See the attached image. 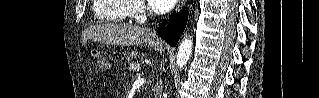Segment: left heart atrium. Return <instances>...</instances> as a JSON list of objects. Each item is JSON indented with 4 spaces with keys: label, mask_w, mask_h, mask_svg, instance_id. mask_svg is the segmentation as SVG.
Here are the masks:
<instances>
[{
    "label": "left heart atrium",
    "mask_w": 319,
    "mask_h": 98,
    "mask_svg": "<svg viewBox=\"0 0 319 98\" xmlns=\"http://www.w3.org/2000/svg\"><path fill=\"white\" fill-rule=\"evenodd\" d=\"M175 0H149V4L156 13H164L170 10Z\"/></svg>",
    "instance_id": "1"
}]
</instances>
